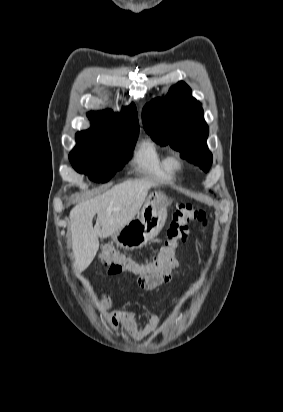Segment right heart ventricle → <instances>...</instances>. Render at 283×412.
Segmentation results:
<instances>
[{"label": "right heart ventricle", "mask_w": 283, "mask_h": 412, "mask_svg": "<svg viewBox=\"0 0 283 412\" xmlns=\"http://www.w3.org/2000/svg\"><path fill=\"white\" fill-rule=\"evenodd\" d=\"M133 165L138 171L157 181H171L174 178L171 154L150 139L143 140L136 148Z\"/></svg>", "instance_id": "right-heart-ventricle-1"}]
</instances>
